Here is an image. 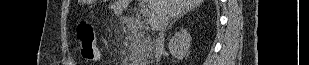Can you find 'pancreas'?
<instances>
[{"label": "pancreas", "mask_w": 309, "mask_h": 65, "mask_svg": "<svg viewBox=\"0 0 309 65\" xmlns=\"http://www.w3.org/2000/svg\"><path fill=\"white\" fill-rule=\"evenodd\" d=\"M151 48V42L148 38L142 35H136L133 37V43L130 46V60L134 61L139 58L145 51H149Z\"/></svg>", "instance_id": "obj_1"}]
</instances>
